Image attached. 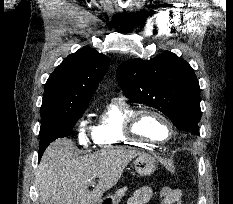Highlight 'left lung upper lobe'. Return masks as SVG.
Segmentation results:
<instances>
[{"mask_svg": "<svg viewBox=\"0 0 233 204\" xmlns=\"http://www.w3.org/2000/svg\"><path fill=\"white\" fill-rule=\"evenodd\" d=\"M117 79L128 99L158 108L179 130L199 135L200 88L192 67L174 53L122 63Z\"/></svg>", "mask_w": 233, "mask_h": 204, "instance_id": "5c2ea615", "label": "left lung upper lobe"}]
</instances>
